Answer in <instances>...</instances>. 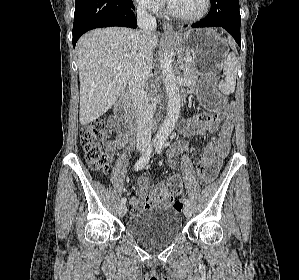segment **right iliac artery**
I'll return each mask as SVG.
<instances>
[{
	"label": "right iliac artery",
	"mask_w": 299,
	"mask_h": 280,
	"mask_svg": "<svg viewBox=\"0 0 299 280\" xmlns=\"http://www.w3.org/2000/svg\"><path fill=\"white\" fill-rule=\"evenodd\" d=\"M156 143H157V141H156V140H153V142H152L151 144L148 145V147H147L145 153H144V154L142 155V157H140V159L135 163V165H134L135 170H141V169H143V168L146 166V164L149 162L151 153H152V151H153V146H154ZM126 201H127V200H126L125 197H123V198L121 199V203H122V204H125Z\"/></svg>",
	"instance_id": "1"
}]
</instances>
